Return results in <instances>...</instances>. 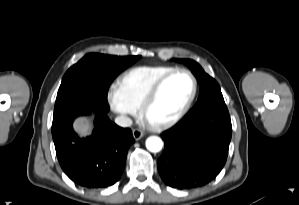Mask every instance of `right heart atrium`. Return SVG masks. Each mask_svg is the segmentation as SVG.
<instances>
[{
	"mask_svg": "<svg viewBox=\"0 0 299 205\" xmlns=\"http://www.w3.org/2000/svg\"><path fill=\"white\" fill-rule=\"evenodd\" d=\"M106 100L109 108L119 115L123 116H131L135 113L131 107H129L122 99L118 89L116 87H112L106 96Z\"/></svg>",
	"mask_w": 299,
	"mask_h": 205,
	"instance_id": "obj_1",
	"label": "right heart atrium"
}]
</instances>
